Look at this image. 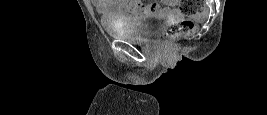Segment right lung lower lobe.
<instances>
[{"instance_id": "obj_1", "label": "right lung lower lobe", "mask_w": 267, "mask_h": 115, "mask_svg": "<svg viewBox=\"0 0 267 115\" xmlns=\"http://www.w3.org/2000/svg\"><path fill=\"white\" fill-rule=\"evenodd\" d=\"M156 88H152V87H149V88H142V89H139V90H142V91H154Z\"/></svg>"}]
</instances>
